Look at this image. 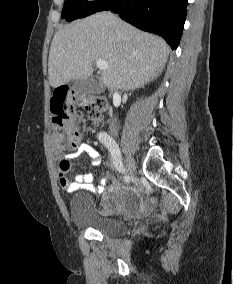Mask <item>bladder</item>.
Here are the masks:
<instances>
[{"label": "bladder", "mask_w": 233, "mask_h": 284, "mask_svg": "<svg viewBox=\"0 0 233 284\" xmlns=\"http://www.w3.org/2000/svg\"><path fill=\"white\" fill-rule=\"evenodd\" d=\"M111 194H114L116 198L111 197ZM111 194H108V196L115 204L118 201L128 204L138 201L137 194L129 188ZM69 212L74 225L93 229L105 236H120L127 231L125 221L116 217H107L99 214L93 198L84 192L76 193L71 197Z\"/></svg>", "instance_id": "bladder-1"}]
</instances>
